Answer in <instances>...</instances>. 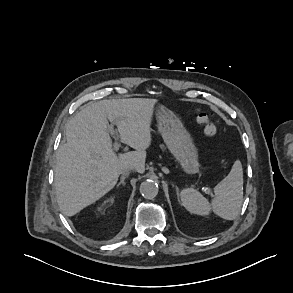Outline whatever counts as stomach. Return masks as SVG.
Returning a JSON list of instances; mask_svg holds the SVG:
<instances>
[{"mask_svg": "<svg viewBox=\"0 0 293 293\" xmlns=\"http://www.w3.org/2000/svg\"><path fill=\"white\" fill-rule=\"evenodd\" d=\"M159 131L182 171L188 175L199 172L197 149L190 134L175 114L163 106L157 109Z\"/></svg>", "mask_w": 293, "mask_h": 293, "instance_id": "0dacf381", "label": "stomach"}]
</instances>
